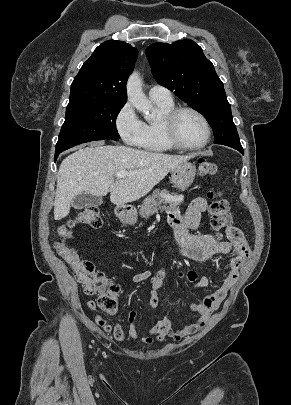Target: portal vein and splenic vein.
<instances>
[{"label":"portal vein and splenic vein","instance_id":"obj_1","mask_svg":"<svg viewBox=\"0 0 291 405\" xmlns=\"http://www.w3.org/2000/svg\"><path fill=\"white\" fill-rule=\"evenodd\" d=\"M128 174H129V173L126 172V171H119V172L116 173V178H117V179H121V178L127 176Z\"/></svg>","mask_w":291,"mask_h":405}]
</instances>
